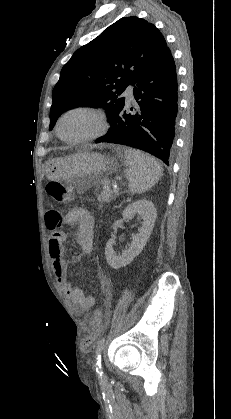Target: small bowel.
Listing matches in <instances>:
<instances>
[{"mask_svg":"<svg viewBox=\"0 0 231 419\" xmlns=\"http://www.w3.org/2000/svg\"><path fill=\"white\" fill-rule=\"evenodd\" d=\"M46 226L53 230L49 240V255L53 267V272L57 282L63 288L65 294L76 307L79 314H86L96 304V299L92 295L85 293L81 288L73 287L68 280L67 263L64 258V243L67 236L62 231L55 229L65 225L79 224L76 237L77 243L84 253H90L93 243L94 220L92 215L85 209L73 208L64 216L57 212L47 213L45 216ZM80 257L76 260L80 261ZM102 284L107 295H111L110 283L102 277Z\"/></svg>","mask_w":231,"mask_h":419,"instance_id":"small-bowel-1","label":"small bowel"}]
</instances>
